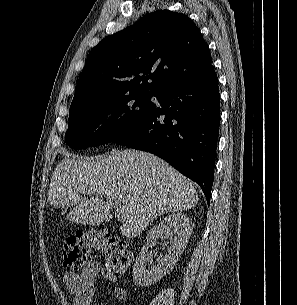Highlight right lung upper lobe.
<instances>
[{
	"mask_svg": "<svg viewBox=\"0 0 297 305\" xmlns=\"http://www.w3.org/2000/svg\"><path fill=\"white\" fill-rule=\"evenodd\" d=\"M213 70L208 45L196 25L185 14L156 11L91 50L70 108L125 92L158 93Z\"/></svg>",
	"mask_w": 297,
	"mask_h": 305,
	"instance_id": "right-lung-upper-lobe-1",
	"label": "right lung upper lobe"
}]
</instances>
